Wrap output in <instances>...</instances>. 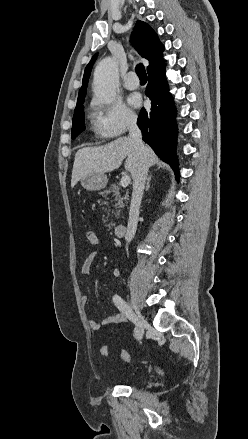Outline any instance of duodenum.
I'll return each instance as SVG.
<instances>
[{
  "instance_id": "1",
  "label": "duodenum",
  "mask_w": 248,
  "mask_h": 439,
  "mask_svg": "<svg viewBox=\"0 0 248 439\" xmlns=\"http://www.w3.org/2000/svg\"><path fill=\"white\" fill-rule=\"evenodd\" d=\"M125 231H126V224L125 223H118L114 227V233L116 236L124 235Z\"/></svg>"
}]
</instances>
